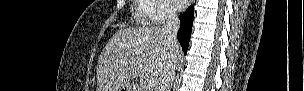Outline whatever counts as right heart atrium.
<instances>
[{"label":"right heart atrium","mask_w":304,"mask_h":91,"mask_svg":"<svg viewBox=\"0 0 304 91\" xmlns=\"http://www.w3.org/2000/svg\"><path fill=\"white\" fill-rule=\"evenodd\" d=\"M146 7L142 12L145 20L151 23H162L176 15L175 9L167 0H142Z\"/></svg>","instance_id":"1"}]
</instances>
